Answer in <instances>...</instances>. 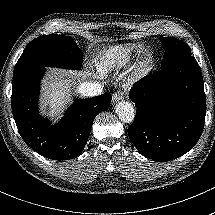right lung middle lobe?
<instances>
[{
  "instance_id": "obj_1",
  "label": "right lung middle lobe",
  "mask_w": 215,
  "mask_h": 215,
  "mask_svg": "<svg viewBox=\"0 0 215 215\" xmlns=\"http://www.w3.org/2000/svg\"><path fill=\"white\" fill-rule=\"evenodd\" d=\"M82 60V52L71 37L40 36L27 45L15 65L13 75L35 67L80 69Z\"/></svg>"
}]
</instances>
